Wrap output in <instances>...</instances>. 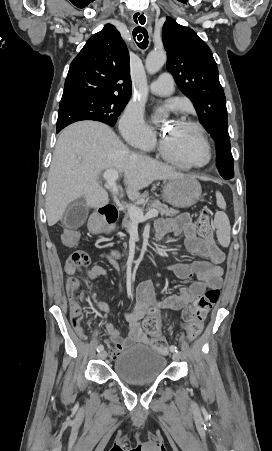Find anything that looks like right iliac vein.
Listing matches in <instances>:
<instances>
[{
	"instance_id": "1",
	"label": "right iliac vein",
	"mask_w": 272,
	"mask_h": 451,
	"mask_svg": "<svg viewBox=\"0 0 272 451\" xmlns=\"http://www.w3.org/2000/svg\"><path fill=\"white\" fill-rule=\"evenodd\" d=\"M106 356H107V352L105 350L100 351L98 354V358H100V359H105Z\"/></svg>"
}]
</instances>
